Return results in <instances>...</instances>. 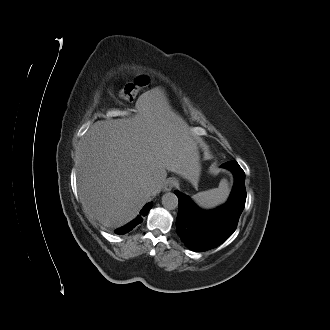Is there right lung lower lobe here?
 I'll list each match as a JSON object with an SVG mask.
<instances>
[{
  "mask_svg": "<svg viewBox=\"0 0 330 330\" xmlns=\"http://www.w3.org/2000/svg\"><path fill=\"white\" fill-rule=\"evenodd\" d=\"M152 207V203H147L140 212V215L137 216L132 222L116 230L118 234H126L131 231L137 224L143 221V217L147 215L148 211Z\"/></svg>",
  "mask_w": 330,
  "mask_h": 330,
  "instance_id": "1",
  "label": "right lung lower lobe"
}]
</instances>
